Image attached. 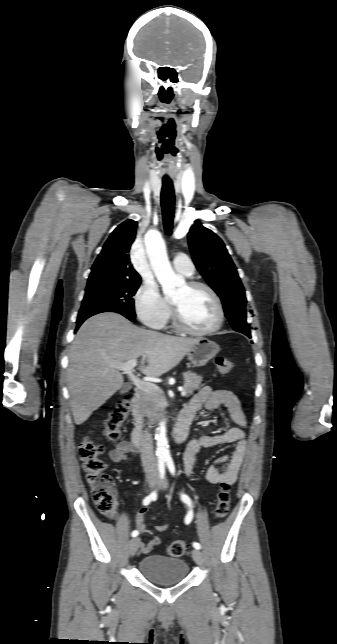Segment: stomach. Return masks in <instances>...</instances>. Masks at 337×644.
I'll return each mask as SVG.
<instances>
[{
  "label": "stomach",
  "mask_w": 337,
  "mask_h": 644,
  "mask_svg": "<svg viewBox=\"0 0 337 644\" xmlns=\"http://www.w3.org/2000/svg\"><path fill=\"white\" fill-rule=\"evenodd\" d=\"M220 351L219 345L207 338H199L197 344L187 353L188 360L195 367L204 366Z\"/></svg>",
  "instance_id": "stomach-1"
}]
</instances>
